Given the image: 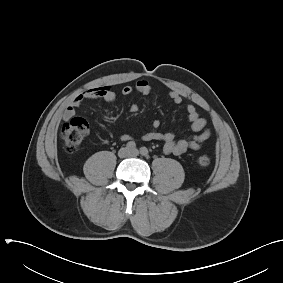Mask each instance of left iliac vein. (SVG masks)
Listing matches in <instances>:
<instances>
[{"instance_id":"left-iliac-vein-1","label":"left iliac vein","mask_w":283,"mask_h":283,"mask_svg":"<svg viewBox=\"0 0 283 283\" xmlns=\"http://www.w3.org/2000/svg\"><path fill=\"white\" fill-rule=\"evenodd\" d=\"M130 155L131 156H138L139 155V150H137V149L131 150L130 151Z\"/></svg>"}]
</instances>
